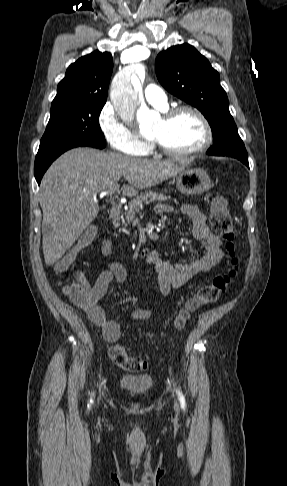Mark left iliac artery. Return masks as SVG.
<instances>
[{
    "instance_id": "obj_1",
    "label": "left iliac artery",
    "mask_w": 287,
    "mask_h": 486,
    "mask_svg": "<svg viewBox=\"0 0 287 486\" xmlns=\"http://www.w3.org/2000/svg\"><path fill=\"white\" fill-rule=\"evenodd\" d=\"M177 393H178V396H179V400H180V403H181V407H182V409L185 410V407H186L185 398H184L183 394L180 391H178Z\"/></svg>"
}]
</instances>
